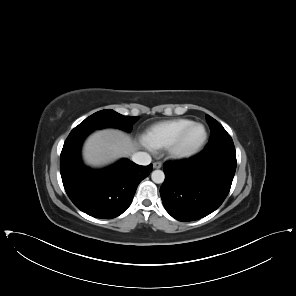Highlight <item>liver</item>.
Wrapping results in <instances>:
<instances>
[{
	"label": "liver",
	"instance_id": "liver-1",
	"mask_svg": "<svg viewBox=\"0 0 296 296\" xmlns=\"http://www.w3.org/2000/svg\"><path fill=\"white\" fill-rule=\"evenodd\" d=\"M137 148V143L126 133L117 129H104L87 138L83 158L90 166L102 167L134 154Z\"/></svg>",
	"mask_w": 296,
	"mask_h": 296
}]
</instances>
